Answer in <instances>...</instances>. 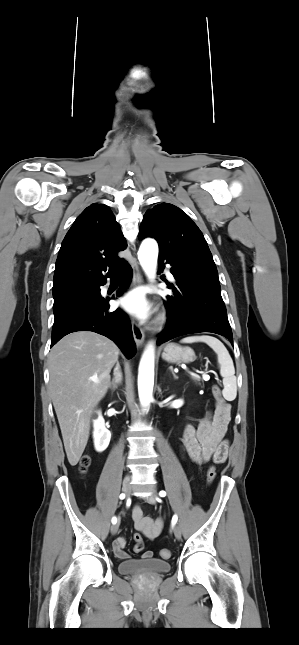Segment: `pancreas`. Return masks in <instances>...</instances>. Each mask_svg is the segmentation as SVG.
<instances>
[{
	"label": "pancreas",
	"mask_w": 299,
	"mask_h": 645,
	"mask_svg": "<svg viewBox=\"0 0 299 645\" xmlns=\"http://www.w3.org/2000/svg\"><path fill=\"white\" fill-rule=\"evenodd\" d=\"M192 378H193L194 380H196V381H199V378H198V377H195V376H194V377H192ZM203 378H204V376H203Z\"/></svg>",
	"instance_id": "cf45deb5"
}]
</instances>
